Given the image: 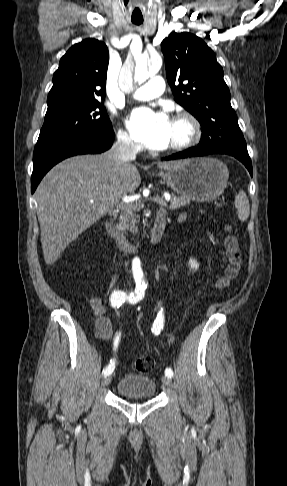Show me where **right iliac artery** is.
I'll use <instances>...</instances> for the list:
<instances>
[{
    "mask_svg": "<svg viewBox=\"0 0 287 486\" xmlns=\"http://www.w3.org/2000/svg\"><path fill=\"white\" fill-rule=\"evenodd\" d=\"M144 293H145L144 287H137L135 289V294L136 296L139 297L137 301L141 300L144 297ZM136 296H134L133 293L127 295L124 291L117 290L111 294L110 303L112 307L119 308L126 300L128 301L134 300ZM118 340H119V335L117 336V339L114 343V349H116L118 346ZM114 367H115V361L111 360L109 365L103 370V375L104 376L110 375L113 372Z\"/></svg>",
    "mask_w": 287,
    "mask_h": 486,
    "instance_id": "right-iliac-artery-1",
    "label": "right iliac artery"
}]
</instances>
